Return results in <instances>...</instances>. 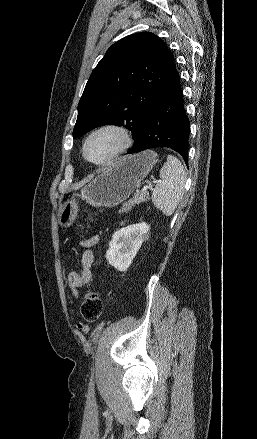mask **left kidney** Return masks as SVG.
<instances>
[{
	"instance_id": "1",
	"label": "left kidney",
	"mask_w": 257,
	"mask_h": 439,
	"mask_svg": "<svg viewBox=\"0 0 257 439\" xmlns=\"http://www.w3.org/2000/svg\"><path fill=\"white\" fill-rule=\"evenodd\" d=\"M148 231L149 226L145 222L117 230L106 252L108 263L119 271H127L142 243L148 238Z\"/></svg>"
}]
</instances>
